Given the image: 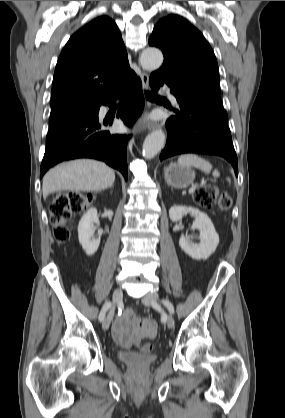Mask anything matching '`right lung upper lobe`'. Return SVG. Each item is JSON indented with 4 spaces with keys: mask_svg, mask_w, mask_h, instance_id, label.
Wrapping results in <instances>:
<instances>
[{
    "mask_svg": "<svg viewBox=\"0 0 285 418\" xmlns=\"http://www.w3.org/2000/svg\"><path fill=\"white\" fill-rule=\"evenodd\" d=\"M136 74L116 23L100 16L69 39L57 61L51 108L98 104L122 92Z\"/></svg>",
    "mask_w": 285,
    "mask_h": 418,
    "instance_id": "1",
    "label": "right lung upper lobe"
}]
</instances>
